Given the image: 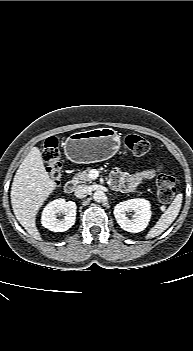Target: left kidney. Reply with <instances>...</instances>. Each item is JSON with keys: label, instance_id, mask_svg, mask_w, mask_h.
<instances>
[{"label": "left kidney", "instance_id": "obj_1", "mask_svg": "<svg viewBox=\"0 0 193 351\" xmlns=\"http://www.w3.org/2000/svg\"><path fill=\"white\" fill-rule=\"evenodd\" d=\"M134 212L132 219L127 213ZM114 216L119 226L128 232L138 233L143 231L151 218V205L148 200L142 198L130 199L118 203L114 207Z\"/></svg>", "mask_w": 193, "mask_h": 351}]
</instances>
